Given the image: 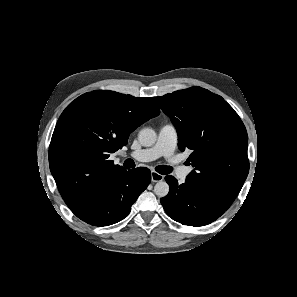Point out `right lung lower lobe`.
Masks as SVG:
<instances>
[{
	"label": "right lung lower lobe",
	"instance_id": "obj_1",
	"mask_svg": "<svg viewBox=\"0 0 297 297\" xmlns=\"http://www.w3.org/2000/svg\"><path fill=\"white\" fill-rule=\"evenodd\" d=\"M151 172L145 167L125 170L101 189L80 212L78 218L94 226H108L124 219L132 204L147 188Z\"/></svg>",
	"mask_w": 297,
	"mask_h": 297
}]
</instances>
